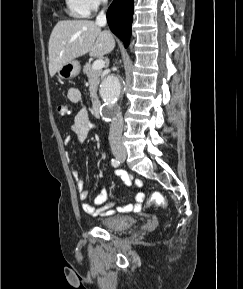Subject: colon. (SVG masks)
<instances>
[{"mask_svg":"<svg viewBox=\"0 0 243 289\" xmlns=\"http://www.w3.org/2000/svg\"><path fill=\"white\" fill-rule=\"evenodd\" d=\"M56 111H57V114L61 117H64V116L68 115V113H69L68 107L64 104H58L56 106ZM152 205L165 207L166 201H165L164 196L159 192L152 193V195L150 196V198L147 202V206H152Z\"/></svg>","mask_w":243,"mask_h":289,"instance_id":"obj_1","label":"colon"}]
</instances>
